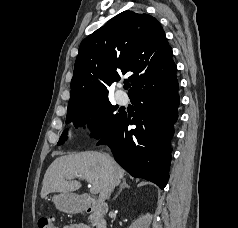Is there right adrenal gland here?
Wrapping results in <instances>:
<instances>
[{
  "instance_id": "2a0ac1e0",
  "label": "right adrenal gland",
  "mask_w": 238,
  "mask_h": 228,
  "mask_svg": "<svg viewBox=\"0 0 238 228\" xmlns=\"http://www.w3.org/2000/svg\"><path fill=\"white\" fill-rule=\"evenodd\" d=\"M124 188H130V186L127 184L126 182V179H123L121 185H120V188H119V191L117 192V194L115 195V197L113 198V200H115L118 195L121 193V191L124 189Z\"/></svg>"
}]
</instances>
